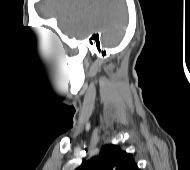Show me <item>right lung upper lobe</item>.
Returning a JSON list of instances; mask_svg holds the SVG:
<instances>
[{
  "instance_id": "cb5924a9",
  "label": "right lung upper lobe",
  "mask_w": 190,
  "mask_h": 170,
  "mask_svg": "<svg viewBox=\"0 0 190 170\" xmlns=\"http://www.w3.org/2000/svg\"><path fill=\"white\" fill-rule=\"evenodd\" d=\"M76 170H140L129 153L117 145H104L100 154L84 161Z\"/></svg>"
}]
</instances>
